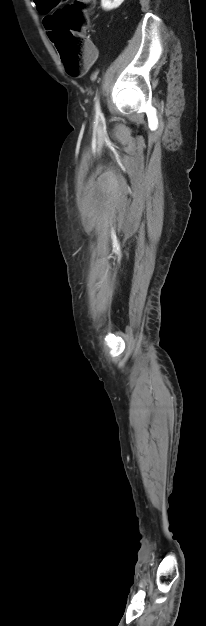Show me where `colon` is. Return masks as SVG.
Wrapping results in <instances>:
<instances>
[{
	"instance_id": "colon-1",
	"label": "colon",
	"mask_w": 206,
	"mask_h": 626,
	"mask_svg": "<svg viewBox=\"0 0 206 626\" xmlns=\"http://www.w3.org/2000/svg\"><path fill=\"white\" fill-rule=\"evenodd\" d=\"M95 0H74L64 4V0H43L40 10H53L47 18L50 38L55 44L66 71L72 76L80 75L90 56L84 36L89 22L88 11Z\"/></svg>"
}]
</instances>
